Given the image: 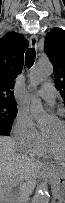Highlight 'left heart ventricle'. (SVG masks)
Returning a JSON list of instances; mask_svg holds the SVG:
<instances>
[{"mask_svg":"<svg viewBox=\"0 0 65 203\" xmlns=\"http://www.w3.org/2000/svg\"><path fill=\"white\" fill-rule=\"evenodd\" d=\"M45 136L52 140L56 148L59 151H62L65 146V127L61 122L55 124L54 126L50 127L45 132Z\"/></svg>","mask_w":65,"mask_h":203,"instance_id":"left-heart-ventricle-1","label":"left heart ventricle"}]
</instances>
